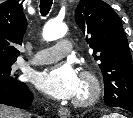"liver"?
Instances as JSON below:
<instances>
[{
  "label": "liver",
  "instance_id": "1",
  "mask_svg": "<svg viewBox=\"0 0 133 118\" xmlns=\"http://www.w3.org/2000/svg\"><path fill=\"white\" fill-rule=\"evenodd\" d=\"M0 118H29V114L23 110L0 104Z\"/></svg>",
  "mask_w": 133,
  "mask_h": 118
}]
</instances>
